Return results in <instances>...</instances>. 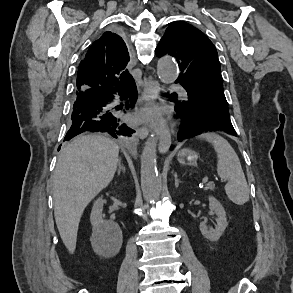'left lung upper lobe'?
<instances>
[{"instance_id":"1","label":"left lung upper lobe","mask_w":293,"mask_h":293,"mask_svg":"<svg viewBox=\"0 0 293 293\" xmlns=\"http://www.w3.org/2000/svg\"><path fill=\"white\" fill-rule=\"evenodd\" d=\"M156 54L174 56L181 73L176 83L196 98L207 110L228 111L223 91V79L215 46L208 37L194 26L175 21L165 31Z\"/></svg>"}]
</instances>
